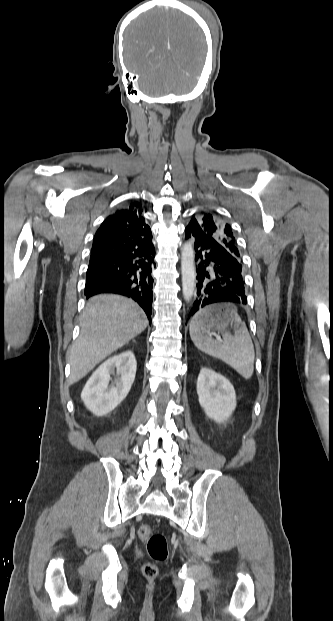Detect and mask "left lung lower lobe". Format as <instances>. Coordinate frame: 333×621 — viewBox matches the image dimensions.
<instances>
[{
  "label": "left lung lower lobe",
  "mask_w": 333,
  "mask_h": 621,
  "mask_svg": "<svg viewBox=\"0 0 333 621\" xmlns=\"http://www.w3.org/2000/svg\"><path fill=\"white\" fill-rule=\"evenodd\" d=\"M185 237L196 252V300L190 311L218 302L245 304L242 264L218 241L199 228L187 226Z\"/></svg>",
  "instance_id": "0a47b994"
}]
</instances>
